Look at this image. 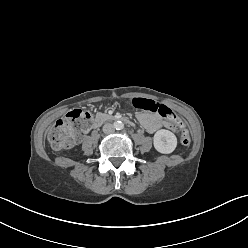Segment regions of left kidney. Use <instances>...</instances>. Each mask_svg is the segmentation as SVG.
<instances>
[{"instance_id":"1","label":"left kidney","mask_w":248,"mask_h":248,"mask_svg":"<svg viewBox=\"0 0 248 248\" xmlns=\"http://www.w3.org/2000/svg\"><path fill=\"white\" fill-rule=\"evenodd\" d=\"M153 144L158 152L170 154L177 146V138L171 131L161 129L154 134Z\"/></svg>"}]
</instances>
